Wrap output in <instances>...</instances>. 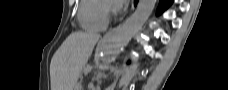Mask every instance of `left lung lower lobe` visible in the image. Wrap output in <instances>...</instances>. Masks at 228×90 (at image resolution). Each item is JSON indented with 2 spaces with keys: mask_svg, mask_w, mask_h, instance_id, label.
Here are the masks:
<instances>
[{
  "mask_svg": "<svg viewBox=\"0 0 228 90\" xmlns=\"http://www.w3.org/2000/svg\"><path fill=\"white\" fill-rule=\"evenodd\" d=\"M137 1L135 2V4ZM172 3V0H160L159 7L157 10V14H160L164 9H166L170 4Z\"/></svg>",
  "mask_w": 228,
  "mask_h": 90,
  "instance_id": "1",
  "label": "left lung lower lobe"
}]
</instances>
